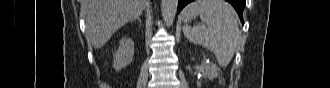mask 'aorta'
<instances>
[{
    "instance_id": "aorta-1",
    "label": "aorta",
    "mask_w": 330,
    "mask_h": 88,
    "mask_svg": "<svg viewBox=\"0 0 330 88\" xmlns=\"http://www.w3.org/2000/svg\"><path fill=\"white\" fill-rule=\"evenodd\" d=\"M178 0H162L161 13L167 26L173 24L177 12Z\"/></svg>"
}]
</instances>
